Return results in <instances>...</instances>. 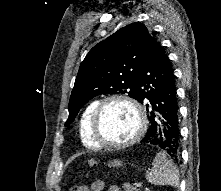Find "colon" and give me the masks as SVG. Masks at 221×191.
<instances>
[{"instance_id": "obj_1", "label": "colon", "mask_w": 221, "mask_h": 191, "mask_svg": "<svg viewBox=\"0 0 221 191\" xmlns=\"http://www.w3.org/2000/svg\"><path fill=\"white\" fill-rule=\"evenodd\" d=\"M69 191H88V188L85 184L77 182L71 186Z\"/></svg>"}]
</instances>
